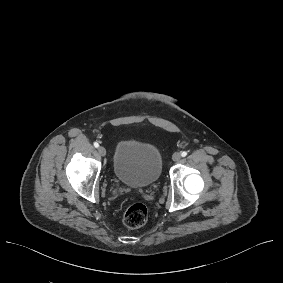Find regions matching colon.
<instances>
[{
	"mask_svg": "<svg viewBox=\"0 0 283 283\" xmlns=\"http://www.w3.org/2000/svg\"><path fill=\"white\" fill-rule=\"evenodd\" d=\"M147 208L139 202H130L123 210V222L128 228H139L146 223Z\"/></svg>",
	"mask_w": 283,
	"mask_h": 283,
	"instance_id": "colon-1",
	"label": "colon"
}]
</instances>
